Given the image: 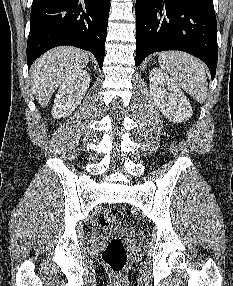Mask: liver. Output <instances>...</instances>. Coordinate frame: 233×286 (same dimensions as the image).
Returning <instances> with one entry per match:
<instances>
[{
	"mask_svg": "<svg viewBox=\"0 0 233 286\" xmlns=\"http://www.w3.org/2000/svg\"><path fill=\"white\" fill-rule=\"evenodd\" d=\"M90 53L75 47H57L43 54L31 68L32 91L42 107H46L56 89L74 72L83 69Z\"/></svg>",
	"mask_w": 233,
	"mask_h": 286,
	"instance_id": "liver-1",
	"label": "liver"
}]
</instances>
